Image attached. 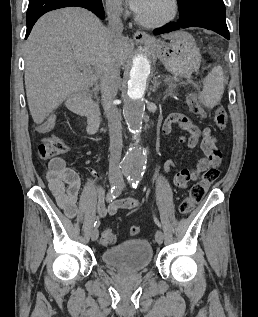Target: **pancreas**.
<instances>
[{
	"label": "pancreas",
	"mask_w": 258,
	"mask_h": 317,
	"mask_svg": "<svg viewBox=\"0 0 258 317\" xmlns=\"http://www.w3.org/2000/svg\"><path fill=\"white\" fill-rule=\"evenodd\" d=\"M166 82H169V88H177L178 84L174 82V76H166Z\"/></svg>",
	"instance_id": "cf45deb5"
}]
</instances>
